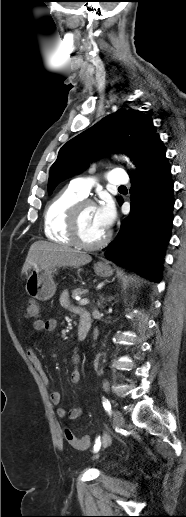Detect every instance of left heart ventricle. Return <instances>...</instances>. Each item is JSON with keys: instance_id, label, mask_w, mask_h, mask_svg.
Listing matches in <instances>:
<instances>
[{"instance_id": "left-heart-ventricle-1", "label": "left heart ventricle", "mask_w": 186, "mask_h": 517, "mask_svg": "<svg viewBox=\"0 0 186 517\" xmlns=\"http://www.w3.org/2000/svg\"><path fill=\"white\" fill-rule=\"evenodd\" d=\"M80 232L83 239L87 242H95L107 232L97 219L95 206L83 208L80 217Z\"/></svg>"}]
</instances>
